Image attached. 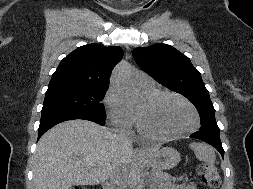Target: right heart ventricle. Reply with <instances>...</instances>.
I'll return each mask as SVG.
<instances>
[{
  "label": "right heart ventricle",
  "mask_w": 253,
  "mask_h": 189,
  "mask_svg": "<svg viewBox=\"0 0 253 189\" xmlns=\"http://www.w3.org/2000/svg\"><path fill=\"white\" fill-rule=\"evenodd\" d=\"M141 91L145 95L146 98L150 97L151 95H153L157 92L156 89H152V90H149V91H144V90H141Z\"/></svg>",
  "instance_id": "e07e8e85"
}]
</instances>
